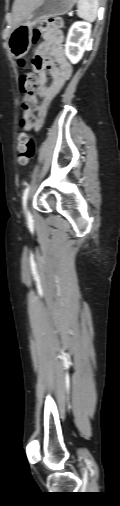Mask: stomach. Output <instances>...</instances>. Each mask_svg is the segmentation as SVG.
Segmentation results:
<instances>
[{
  "label": "stomach",
  "instance_id": "0dacf381",
  "mask_svg": "<svg viewBox=\"0 0 120 506\" xmlns=\"http://www.w3.org/2000/svg\"><path fill=\"white\" fill-rule=\"evenodd\" d=\"M77 0H42L26 19L13 29L8 37V47L14 58L27 54L32 42V28L43 20L70 11Z\"/></svg>",
  "mask_w": 120,
  "mask_h": 506
}]
</instances>
